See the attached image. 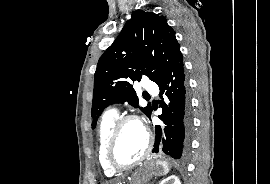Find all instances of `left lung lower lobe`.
I'll return each mask as SVG.
<instances>
[{"instance_id": "left-lung-lower-lobe-1", "label": "left lung lower lobe", "mask_w": 270, "mask_h": 184, "mask_svg": "<svg viewBox=\"0 0 270 184\" xmlns=\"http://www.w3.org/2000/svg\"><path fill=\"white\" fill-rule=\"evenodd\" d=\"M160 97L165 95L167 103L161 101L163 114L159 117L167 124L166 140L162 151L177 163L184 162L190 153L193 121L188 86L185 81L182 53L173 58L162 78L157 82ZM162 130L156 126L153 152H158Z\"/></svg>"}]
</instances>
